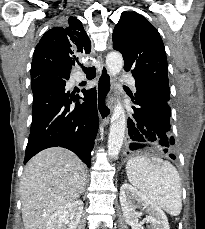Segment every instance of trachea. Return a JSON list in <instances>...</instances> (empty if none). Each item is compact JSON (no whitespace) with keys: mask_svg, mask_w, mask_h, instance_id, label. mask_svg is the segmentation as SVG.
<instances>
[{"mask_svg":"<svg viewBox=\"0 0 205 229\" xmlns=\"http://www.w3.org/2000/svg\"><path fill=\"white\" fill-rule=\"evenodd\" d=\"M83 71L85 72L86 76L88 79H92L95 77V69L92 67V68H86V67H83Z\"/></svg>","mask_w":205,"mask_h":229,"instance_id":"1","label":"trachea"}]
</instances>
